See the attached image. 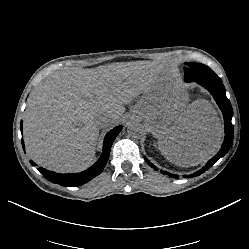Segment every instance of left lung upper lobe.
<instances>
[{"label":"left lung upper lobe","mask_w":249,"mask_h":249,"mask_svg":"<svg viewBox=\"0 0 249 249\" xmlns=\"http://www.w3.org/2000/svg\"><path fill=\"white\" fill-rule=\"evenodd\" d=\"M188 67L184 68V80L191 82L199 79L218 77L208 66L197 63H188Z\"/></svg>","instance_id":"1"}]
</instances>
